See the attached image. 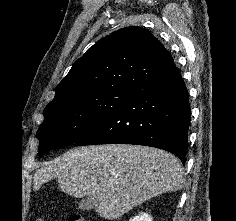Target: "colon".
<instances>
[{
	"instance_id": "5ec220e1",
	"label": "colon",
	"mask_w": 236,
	"mask_h": 221,
	"mask_svg": "<svg viewBox=\"0 0 236 221\" xmlns=\"http://www.w3.org/2000/svg\"><path fill=\"white\" fill-rule=\"evenodd\" d=\"M37 221H45L43 219H38ZM69 221H87L80 215H73L69 218Z\"/></svg>"
}]
</instances>
